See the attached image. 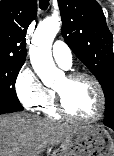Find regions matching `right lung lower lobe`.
<instances>
[{
	"instance_id": "right-lung-lower-lobe-1",
	"label": "right lung lower lobe",
	"mask_w": 114,
	"mask_h": 156,
	"mask_svg": "<svg viewBox=\"0 0 114 156\" xmlns=\"http://www.w3.org/2000/svg\"><path fill=\"white\" fill-rule=\"evenodd\" d=\"M15 111H18V110L0 108V114L11 113V112H15Z\"/></svg>"
}]
</instances>
